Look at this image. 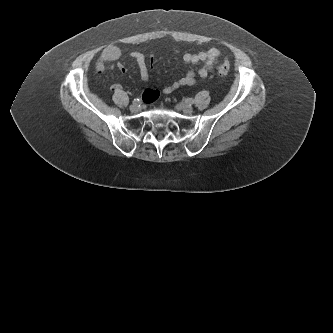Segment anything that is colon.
<instances>
[{"instance_id":"5ec220e1","label":"colon","mask_w":333,"mask_h":333,"mask_svg":"<svg viewBox=\"0 0 333 333\" xmlns=\"http://www.w3.org/2000/svg\"><path fill=\"white\" fill-rule=\"evenodd\" d=\"M230 65L228 62H223L218 66V72L220 75H226L229 72Z\"/></svg>"}]
</instances>
